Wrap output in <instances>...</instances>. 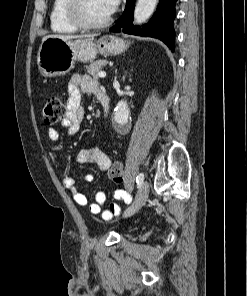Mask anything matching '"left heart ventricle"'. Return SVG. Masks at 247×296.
Returning <instances> with one entry per match:
<instances>
[{
  "mask_svg": "<svg viewBox=\"0 0 247 296\" xmlns=\"http://www.w3.org/2000/svg\"><path fill=\"white\" fill-rule=\"evenodd\" d=\"M83 18L90 23H99L109 17L104 0H84L82 8Z\"/></svg>",
  "mask_w": 247,
  "mask_h": 296,
  "instance_id": "b2bd125f",
  "label": "left heart ventricle"
}]
</instances>
